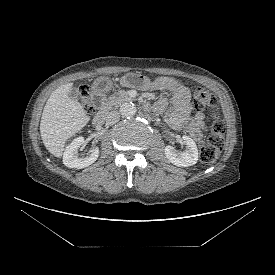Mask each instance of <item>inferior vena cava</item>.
Returning a JSON list of instances; mask_svg holds the SVG:
<instances>
[{
	"label": "inferior vena cava",
	"instance_id": "obj_1",
	"mask_svg": "<svg viewBox=\"0 0 275 275\" xmlns=\"http://www.w3.org/2000/svg\"><path fill=\"white\" fill-rule=\"evenodd\" d=\"M120 120V113L113 110L107 114L106 122L110 125L117 123Z\"/></svg>",
	"mask_w": 275,
	"mask_h": 275
}]
</instances>
